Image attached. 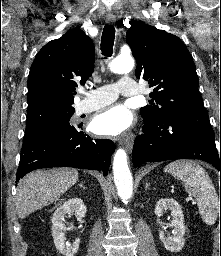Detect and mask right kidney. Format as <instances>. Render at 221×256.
Here are the masks:
<instances>
[{
    "mask_svg": "<svg viewBox=\"0 0 221 256\" xmlns=\"http://www.w3.org/2000/svg\"><path fill=\"white\" fill-rule=\"evenodd\" d=\"M87 208L83 201L79 198H72L66 201L63 205L58 207L52 216V236L56 249L64 256H74L79 248L80 239L77 238L75 241L65 243L64 229V216L66 214L75 213L78 218L85 217Z\"/></svg>",
    "mask_w": 221,
    "mask_h": 256,
    "instance_id": "right-kidney-1",
    "label": "right kidney"
}]
</instances>
